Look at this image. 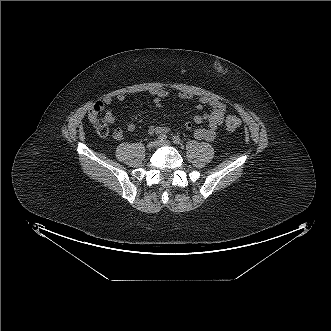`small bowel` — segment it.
<instances>
[{
    "label": "small bowel",
    "mask_w": 331,
    "mask_h": 331,
    "mask_svg": "<svg viewBox=\"0 0 331 331\" xmlns=\"http://www.w3.org/2000/svg\"><path fill=\"white\" fill-rule=\"evenodd\" d=\"M149 94L153 97V104L157 108H161L163 106L164 100L171 96L170 92L159 88L151 89L149 91ZM125 98L126 96L123 93H120L116 96H105L102 100L96 102L94 106L90 109L89 119L92 123H95L99 120L98 116L102 113L103 110H105L104 121L108 124H112L115 121V116L110 106L112 105L114 100L124 101ZM178 98H180L181 100H195V108L198 111L202 110L204 106L210 108V111L208 113H198L194 116V123L201 124L203 122H207L208 126L207 128L194 129L193 135L198 140L212 141L216 136L218 127L223 122L224 115L226 112V104L215 97L201 96L196 98L191 92L188 91H180L178 93ZM184 126L187 129H191L193 125L191 122L187 121L184 123ZM135 127L136 126L133 122H128L126 124L127 131L132 132L135 130ZM168 131V127L155 123H152L147 129V132L151 135L166 134ZM114 135L116 139H120L122 137V132L120 130H117Z\"/></svg>",
    "instance_id": "obj_1"
}]
</instances>
